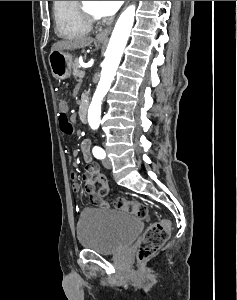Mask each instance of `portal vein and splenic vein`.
<instances>
[{
    "label": "portal vein and splenic vein",
    "instance_id": "1",
    "mask_svg": "<svg viewBox=\"0 0 237 300\" xmlns=\"http://www.w3.org/2000/svg\"><path fill=\"white\" fill-rule=\"evenodd\" d=\"M79 72H80V76L83 77V76L85 75V74L83 73L84 71H83L82 69H81Z\"/></svg>",
    "mask_w": 237,
    "mask_h": 300
}]
</instances>
